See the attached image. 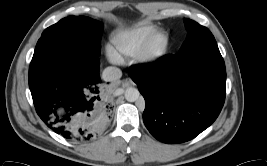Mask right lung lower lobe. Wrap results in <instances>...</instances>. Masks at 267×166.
<instances>
[{
  "mask_svg": "<svg viewBox=\"0 0 267 166\" xmlns=\"http://www.w3.org/2000/svg\"><path fill=\"white\" fill-rule=\"evenodd\" d=\"M98 53L67 36L39 39L29 67V87L37 114L55 133L86 141L110 119L100 84Z\"/></svg>",
  "mask_w": 267,
  "mask_h": 166,
  "instance_id": "98d812e1",
  "label": "right lung lower lobe"
}]
</instances>
